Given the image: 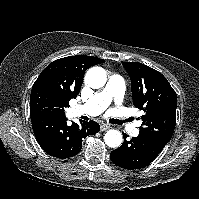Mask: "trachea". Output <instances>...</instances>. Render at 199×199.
<instances>
[{"label": "trachea", "mask_w": 199, "mask_h": 199, "mask_svg": "<svg viewBox=\"0 0 199 199\" xmlns=\"http://www.w3.org/2000/svg\"><path fill=\"white\" fill-rule=\"evenodd\" d=\"M127 121H129V119H128ZM114 123H115V124H119V125H120V124H122V123H123V121H120V120L115 119V120H114Z\"/></svg>", "instance_id": "obj_1"}]
</instances>
